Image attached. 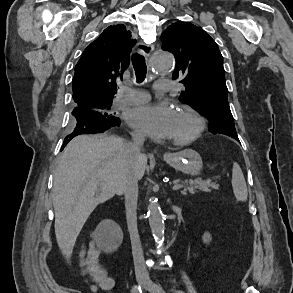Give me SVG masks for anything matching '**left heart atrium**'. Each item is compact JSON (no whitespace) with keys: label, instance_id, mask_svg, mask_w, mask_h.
Returning <instances> with one entry per match:
<instances>
[{"label":"left heart atrium","instance_id":"left-heart-atrium-1","mask_svg":"<svg viewBox=\"0 0 293 293\" xmlns=\"http://www.w3.org/2000/svg\"><path fill=\"white\" fill-rule=\"evenodd\" d=\"M126 121L138 132L155 138H169L175 117L173 110L165 103L145 104L130 108Z\"/></svg>","mask_w":293,"mask_h":293}]
</instances>
